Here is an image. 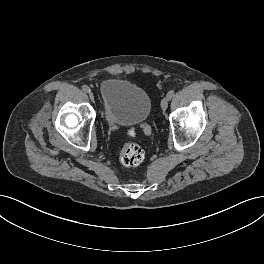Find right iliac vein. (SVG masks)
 <instances>
[{
    "instance_id": "obj_1",
    "label": "right iliac vein",
    "mask_w": 264,
    "mask_h": 264,
    "mask_svg": "<svg viewBox=\"0 0 264 264\" xmlns=\"http://www.w3.org/2000/svg\"><path fill=\"white\" fill-rule=\"evenodd\" d=\"M89 97L92 101H94V94L92 92H89Z\"/></svg>"
}]
</instances>
